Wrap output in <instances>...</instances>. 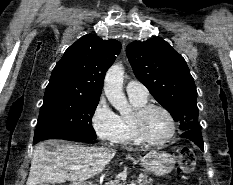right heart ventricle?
I'll return each instance as SVG.
<instances>
[{
	"label": "right heart ventricle",
	"instance_id": "1",
	"mask_svg": "<svg viewBox=\"0 0 233 185\" xmlns=\"http://www.w3.org/2000/svg\"><path fill=\"white\" fill-rule=\"evenodd\" d=\"M129 98L134 111L148 102L147 97L129 96ZM134 111L130 114H123L119 116L121 124V134L118 139V143L127 145H138L141 143V140L138 138L135 132L133 124Z\"/></svg>",
	"mask_w": 233,
	"mask_h": 185
}]
</instances>
